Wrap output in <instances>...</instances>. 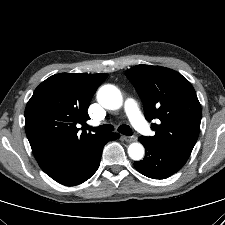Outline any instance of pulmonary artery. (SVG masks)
Listing matches in <instances>:
<instances>
[{
    "label": "pulmonary artery",
    "instance_id": "pulmonary-artery-1",
    "mask_svg": "<svg viewBox=\"0 0 225 225\" xmlns=\"http://www.w3.org/2000/svg\"><path fill=\"white\" fill-rule=\"evenodd\" d=\"M124 108H125L128 118L131 121V123L133 124V126L140 133L145 134V135L149 134L150 133L149 125H148L147 121L145 120V118L143 117L136 102L133 99L128 98L124 103Z\"/></svg>",
    "mask_w": 225,
    "mask_h": 225
}]
</instances>
